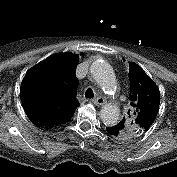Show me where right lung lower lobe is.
I'll use <instances>...</instances> for the list:
<instances>
[{
    "instance_id": "98d812e1",
    "label": "right lung lower lobe",
    "mask_w": 177,
    "mask_h": 177,
    "mask_svg": "<svg viewBox=\"0 0 177 177\" xmlns=\"http://www.w3.org/2000/svg\"><path fill=\"white\" fill-rule=\"evenodd\" d=\"M35 125L39 126V127H43V128H48L44 123H40L38 121L35 120H31Z\"/></svg>"
}]
</instances>
